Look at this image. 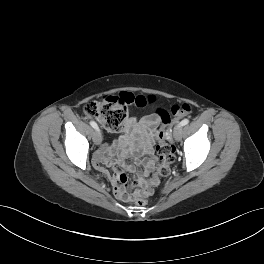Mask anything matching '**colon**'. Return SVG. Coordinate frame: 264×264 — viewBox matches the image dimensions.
<instances>
[{"label":"colon","mask_w":264,"mask_h":264,"mask_svg":"<svg viewBox=\"0 0 264 264\" xmlns=\"http://www.w3.org/2000/svg\"><path fill=\"white\" fill-rule=\"evenodd\" d=\"M151 103V98L143 95H135L130 92H121L118 95L107 96L101 101H89L84 107V113L88 118L99 121L106 130L117 131L124 123L130 108H143ZM191 113L188 104L174 105L171 110L158 109L156 117L160 122L157 132V154L159 162L156 166L155 176L150 181L138 182V185L145 184L146 189L140 192L137 189H128L123 199H131L139 206L148 203V196L153 193V186L158 183L159 177H166L170 174V165L175 160V148L169 142L168 126L171 117L181 118Z\"/></svg>","instance_id":"colon-1"}]
</instances>
